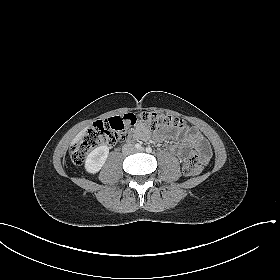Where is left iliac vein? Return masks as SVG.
I'll return each mask as SVG.
<instances>
[{
    "mask_svg": "<svg viewBox=\"0 0 280 280\" xmlns=\"http://www.w3.org/2000/svg\"><path fill=\"white\" fill-rule=\"evenodd\" d=\"M139 151H140V152H143V151H144V149L142 148V149H140Z\"/></svg>",
    "mask_w": 280,
    "mask_h": 280,
    "instance_id": "obj_1",
    "label": "left iliac vein"
}]
</instances>
